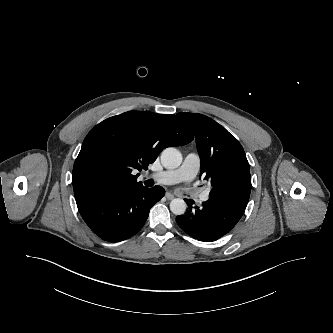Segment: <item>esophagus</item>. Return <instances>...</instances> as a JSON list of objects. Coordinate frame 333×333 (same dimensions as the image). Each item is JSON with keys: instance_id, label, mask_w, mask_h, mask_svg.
<instances>
[{"instance_id": "obj_1", "label": "esophagus", "mask_w": 333, "mask_h": 333, "mask_svg": "<svg viewBox=\"0 0 333 333\" xmlns=\"http://www.w3.org/2000/svg\"><path fill=\"white\" fill-rule=\"evenodd\" d=\"M165 196H166V198H167L168 200H171V199L174 198V194H172V193H170V192H166Z\"/></svg>"}]
</instances>
